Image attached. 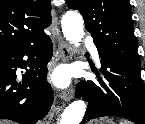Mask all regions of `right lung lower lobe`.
I'll return each instance as SVG.
<instances>
[{"label":"right lung lower lobe","instance_id":"right-lung-lower-lobe-1","mask_svg":"<svg viewBox=\"0 0 145 124\" xmlns=\"http://www.w3.org/2000/svg\"><path fill=\"white\" fill-rule=\"evenodd\" d=\"M52 53L48 35L32 44L0 49V119L35 124L47 114L53 102L52 89L45 80ZM17 67L27 70L22 82L16 80Z\"/></svg>","mask_w":145,"mask_h":124}]
</instances>
